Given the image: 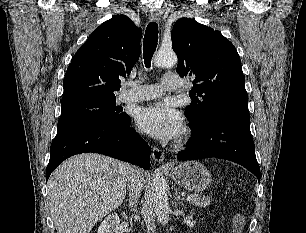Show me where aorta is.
I'll return each instance as SVG.
<instances>
[{"instance_id":"1","label":"aorta","mask_w":306,"mask_h":233,"mask_svg":"<svg viewBox=\"0 0 306 233\" xmlns=\"http://www.w3.org/2000/svg\"><path fill=\"white\" fill-rule=\"evenodd\" d=\"M177 62V56L172 50H159L154 59L157 67H172ZM152 202L160 222L167 224L169 219L168 195L165 178L160 172H156L153 178Z\"/></svg>"}]
</instances>
